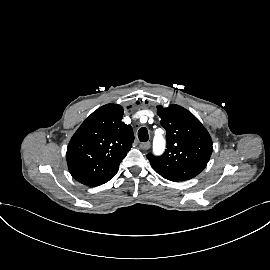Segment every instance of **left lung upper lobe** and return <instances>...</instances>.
I'll return each mask as SVG.
<instances>
[{
  "instance_id": "1",
  "label": "left lung upper lobe",
  "mask_w": 270,
  "mask_h": 270,
  "mask_svg": "<svg viewBox=\"0 0 270 270\" xmlns=\"http://www.w3.org/2000/svg\"><path fill=\"white\" fill-rule=\"evenodd\" d=\"M166 130L167 149L162 156L148 154L153 169L166 179L185 181L197 176L212 154V140L200 121L179 105L157 107Z\"/></svg>"
}]
</instances>
